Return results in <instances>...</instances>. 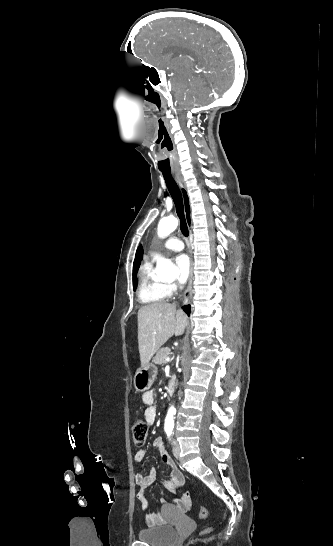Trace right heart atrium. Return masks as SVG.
<instances>
[{
    "label": "right heart atrium",
    "mask_w": 333,
    "mask_h": 546,
    "mask_svg": "<svg viewBox=\"0 0 333 546\" xmlns=\"http://www.w3.org/2000/svg\"><path fill=\"white\" fill-rule=\"evenodd\" d=\"M164 289L167 295H171L176 290V286L174 284H165Z\"/></svg>",
    "instance_id": "1"
}]
</instances>
